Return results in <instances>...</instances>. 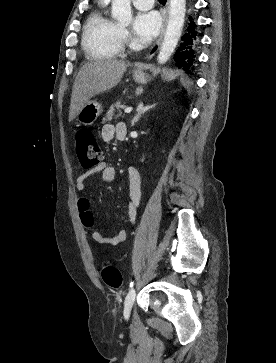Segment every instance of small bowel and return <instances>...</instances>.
Here are the masks:
<instances>
[{"label":"small bowel","mask_w":276,"mask_h":363,"mask_svg":"<svg viewBox=\"0 0 276 363\" xmlns=\"http://www.w3.org/2000/svg\"><path fill=\"white\" fill-rule=\"evenodd\" d=\"M126 134V126L123 123L118 124H105L101 130V137L105 142L111 141L114 137L120 139V136ZM100 173L101 180L105 183H111L116 178V170L114 167L101 163L93 168H90L80 174L76 178V189L79 192H85L86 180L96 174ZM129 176V199L126 202L127 215L131 224L136 222L141 206V176L139 171L130 167L128 170ZM89 200L86 197L79 199V208L82 209L86 214V220L90 229V235L92 239L101 245H120L125 242L127 238V232L123 229L119 230L115 235H106L102 232L91 229L92 216L88 211Z\"/></svg>","instance_id":"small-bowel-1"}]
</instances>
